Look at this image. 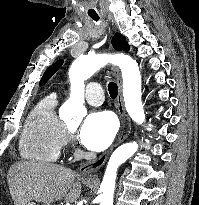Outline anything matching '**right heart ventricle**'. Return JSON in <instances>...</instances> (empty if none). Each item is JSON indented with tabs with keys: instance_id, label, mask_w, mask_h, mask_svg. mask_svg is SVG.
Segmentation results:
<instances>
[{
	"instance_id": "right-heart-ventricle-1",
	"label": "right heart ventricle",
	"mask_w": 199,
	"mask_h": 205,
	"mask_svg": "<svg viewBox=\"0 0 199 205\" xmlns=\"http://www.w3.org/2000/svg\"><path fill=\"white\" fill-rule=\"evenodd\" d=\"M56 105V95L50 94L29 113L20 138L23 158L45 164L58 160L66 143V131L56 113Z\"/></svg>"
}]
</instances>
